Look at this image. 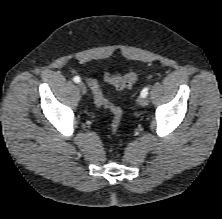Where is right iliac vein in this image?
Returning <instances> with one entry per match:
<instances>
[{
  "label": "right iliac vein",
  "instance_id": "63e3f726",
  "mask_svg": "<svg viewBox=\"0 0 222 219\" xmlns=\"http://www.w3.org/2000/svg\"><path fill=\"white\" fill-rule=\"evenodd\" d=\"M78 88L82 94H85L87 92L86 85L83 82L78 83Z\"/></svg>",
  "mask_w": 222,
  "mask_h": 219
}]
</instances>
